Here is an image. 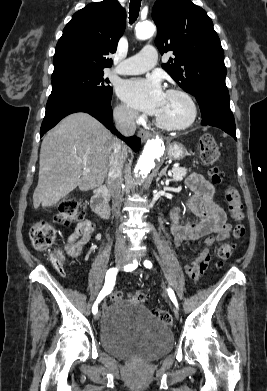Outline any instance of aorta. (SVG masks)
I'll return each mask as SVG.
<instances>
[{
    "label": "aorta",
    "instance_id": "aorta-1",
    "mask_svg": "<svg viewBox=\"0 0 267 391\" xmlns=\"http://www.w3.org/2000/svg\"><path fill=\"white\" fill-rule=\"evenodd\" d=\"M154 32L155 26L151 22H141L138 23L135 27V35L139 40L150 38ZM162 153L163 141L161 139L157 137L148 140L135 167V175L137 177H146L155 167V164L161 157Z\"/></svg>",
    "mask_w": 267,
    "mask_h": 391
}]
</instances>
